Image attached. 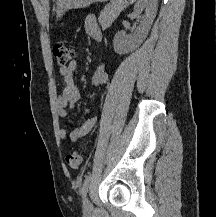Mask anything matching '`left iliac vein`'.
I'll return each mask as SVG.
<instances>
[{
	"label": "left iliac vein",
	"instance_id": "left-iliac-vein-1",
	"mask_svg": "<svg viewBox=\"0 0 216 217\" xmlns=\"http://www.w3.org/2000/svg\"><path fill=\"white\" fill-rule=\"evenodd\" d=\"M83 208L87 213H90L92 211V205L87 197L83 199Z\"/></svg>",
	"mask_w": 216,
	"mask_h": 217
}]
</instances>
